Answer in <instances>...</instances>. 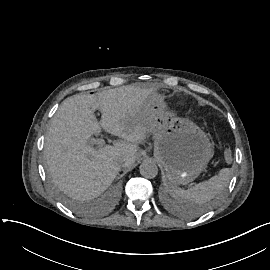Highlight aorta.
<instances>
[{
    "instance_id": "1",
    "label": "aorta",
    "mask_w": 270,
    "mask_h": 270,
    "mask_svg": "<svg viewBox=\"0 0 270 270\" xmlns=\"http://www.w3.org/2000/svg\"><path fill=\"white\" fill-rule=\"evenodd\" d=\"M140 174L145 178H154L158 173L157 165L151 160H145L139 167Z\"/></svg>"
}]
</instances>
